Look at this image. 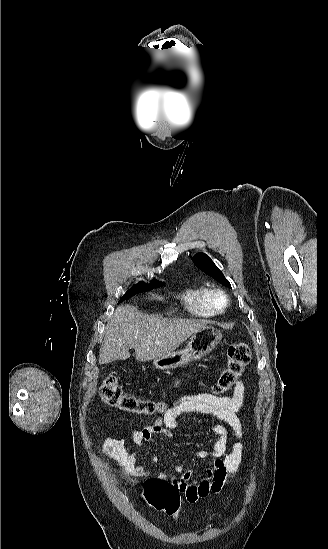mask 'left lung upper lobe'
I'll use <instances>...</instances> for the list:
<instances>
[{
  "instance_id": "left-lung-upper-lobe-1",
  "label": "left lung upper lobe",
  "mask_w": 328,
  "mask_h": 549,
  "mask_svg": "<svg viewBox=\"0 0 328 549\" xmlns=\"http://www.w3.org/2000/svg\"><path fill=\"white\" fill-rule=\"evenodd\" d=\"M194 263L209 276L215 278L224 285L231 287L220 269L214 264L211 258L205 253H198L193 258Z\"/></svg>"
}]
</instances>
